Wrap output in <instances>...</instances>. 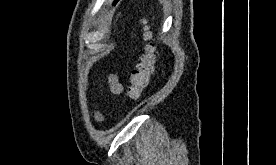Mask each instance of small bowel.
I'll return each mask as SVG.
<instances>
[{
  "label": "small bowel",
  "instance_id": "c3829d8e",
  "mask_svg": "<svg viewBox=\"0 0 276 165\" xmlns=\"http://www.w3.org/2000/svg\"><path fill=\"white\" fill-rule=\"evenodd\" d=\"M108 83L112 93L120 94L123 91V85L119 81V78L115 74H110L108 76ZM95 118L98 120L102 119V116L98 113L95 114Z\"/></svg>",
  "mask_w": 276,
  "mask_h": 165
}]
</instances>
